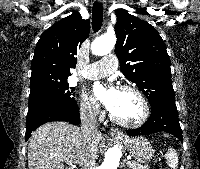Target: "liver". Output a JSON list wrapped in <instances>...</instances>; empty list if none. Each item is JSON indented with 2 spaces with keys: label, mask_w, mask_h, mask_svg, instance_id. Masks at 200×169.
Instances as JSON below:
<instances>
[{
  "label": "liver",
  "mask_w": 200,
  "mask_h": 169,
  "mask_svg": "<svg viewBox=\"0 0 200 169\" xmlns=\"http://www.w3.org/2000/svg\"><path fill=\"white\" fill-rule=\"evenodd\" d=\"M105 144L99 132L89 142L81 129L67 122H49L32 134L28 145L29 169H64V162L83 166L85 160H95Z\"/></svg>",
  "instance_id": "1"
}]
</instances>
